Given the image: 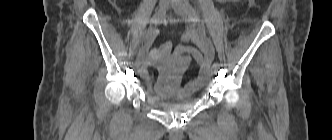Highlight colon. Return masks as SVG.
<instances>
[{
    "instance_id": "1",
    "label": "colon",
    "mask_w": 332,
    "mask_h": 140,
    "mask_svg": "<svg viewBox=\"0 0 332 140\" xmlns=\"http://www.w3.org/2000/svg\"><path fill=\"white\" fill-rule=\"evenodd\" d=\"M251 2L254 3V0H252ZM172 48H173L172 42L170 41L166 42L163 46H161L158 49V56L160 58H164L167 54H169L172 51Z\"/></svg>"
}]
</instances>
